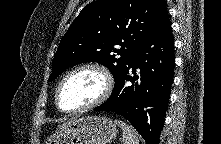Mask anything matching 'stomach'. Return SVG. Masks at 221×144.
<instances>
[{
	"label": "stomach",
	"mask_w": 221,
	"mask_h": 144,
	"mask_svg": "<svg viewBox=\"0 0 221 144\" xmlns=\"http://www.w3.org/2000/svg\"><path fill=\"white\" fill-rule=\"evenodd\" d=\"M116 134V125L108 117H76L49 137L46 144H108Z\"/></svg>",
	"instance_id": "stomach-1"
}]
</instances>
